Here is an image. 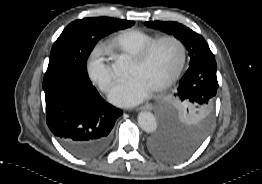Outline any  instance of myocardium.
<instances>
[{
    "label": "myocardium",
    "mask_w": 262,
    "mask_h": 184,
    "mask_svg": "<svg viewBox=\"0 0 262 184\" xmlns=\"http://www.w3.org/2000/svg\"><path fill=\"white\" fill-rule=\"evenodd\" d=\"M164 41H172L176 43L180 50H181V60L179 62V65L175 69V71L171 74L170 77H168L164 82H162L160 85L154 87L152 91L154 92H160L167 88H169L172 84H174L177 79L180 77L181 73L183 72L186 62H187V48L185 43L178 37L174 35H166L161 36L146 45L142 50H140L133 58L132 62L136 64H142L144 63L151 55L153 50L162 42Z\"/></svg>",
    "instance_id": "myocardium-1"
}]
</instances>
